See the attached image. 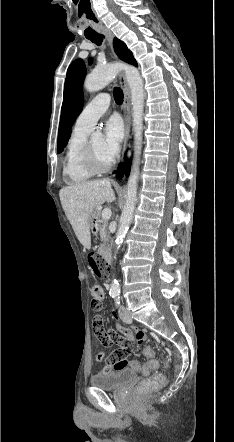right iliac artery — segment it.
Masks as SVG:
<instances>
[{"instance_id": "obj_1", "label": "right iliac artery", "mask_w": 234, "mask_h": 442, "mask_svg": "<svg viewBox=\"0 0 234 442\" xmlns=\"http://www.w3.org/2000/svg\"><path fill=\"white\" fill-rule=\"evenodd\" d=\"M111 295H112V297H116L118 294L117 293H112Z\"/></svg>"}]
</instances>
